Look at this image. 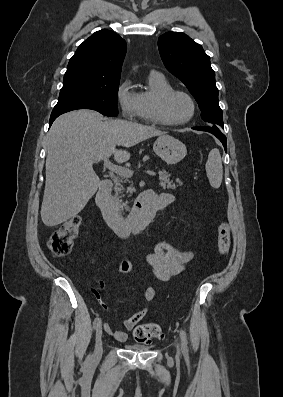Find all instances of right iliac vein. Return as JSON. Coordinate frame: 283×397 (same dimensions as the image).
I'll return each instance as SVG.
<instances>
[{
    "label": "right iliac vein",
    "instance_id": "obj_1",
    "mask_svg": "<svg viewBox=\"0 0 283 397\" xmlns=\"http://www.w3.org/2000/svg\"><path fill=\"white\" fill-rule=\"evenodd\" d=\"M103 352V343H102V325L98 326L96 330V340H95V350H94V358L99 359Z\"/></svg>",
    "mask_w": 283,
    "mask_h": 397
}]
</instances>
